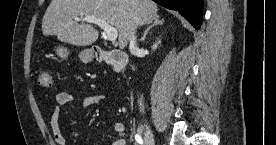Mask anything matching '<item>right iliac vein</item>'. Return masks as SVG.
Listing matches in <instances>:
<instances>
[{
    "label": "right iliac vein",
    "mask_w": 276,
    "mask_h": 145,
    "mask_svg": "<svg viewBox=\"0 0 276 145\" xmlns=\"http://www.w3.org/2000/svg\"><path fill=\"white\" fill-rule=\"evenodd\" d=\"M144 138H145L146 145H155L154 135H153V133L150 129V126L148 124L145 125Z\"/></svg>",
    "instance_id": "1"
}]
</instances>
